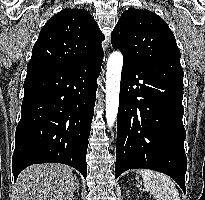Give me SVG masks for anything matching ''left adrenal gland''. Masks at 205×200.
<instances>
[{
	"mask_svg": "<svg viewBox=\"0 0 205 200\" xmlns=\"http://www.w3.org/2000/svg\"><path fill=\"white\" fill-rule=\"evenodd\" d=\"M126 193L129 194V190H127Z\"/></svg>",
	"mask_w": 205,
	"mask_h": 200,
	"instance_id": "a2214340",
	"label": "left adrenal gland"
}]
</instances>
